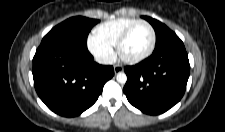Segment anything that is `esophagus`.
<instances>
[{"instance_id": "34e87169", "label": "esophagus", "mask_w": 225, "mask_h": 132, "mask_svg": "<svg viewBox=\"0 0 225 132\" xmlns=\"http://www.w3.org/2000/svg\"><path fill=\"white\" fill-rule=\"evenodd\" d=\"M122 71H123V67L122 66H120V65H115L114 66V72H115V74H118V73H120Z\"/></svg>"}]
</instances>
